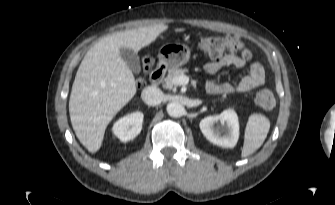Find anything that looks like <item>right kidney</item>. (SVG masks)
<instances>
[{
  "label": "right kidney",
  "instance_id": "1",
  "mask_svg": "<svg viewBox=\"0 0 335 205\" xmlns=\"http://www.w3.org/2000/svg\"><path fill=\"white\" fill-rule=\"evenodd\" d=\"M143 113L140 111L128 114L117 120L113 127V134L122 142L135 138L142 130Z\"/></svg>",
  "mask_w": 335,
  "mask_h": 205
}]
</instances>
